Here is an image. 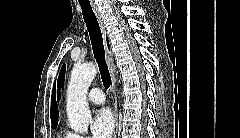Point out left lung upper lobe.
<instances>
[{"instance_id": "left-lung-upper-lobe-1", "label": "left lung upper lobe", "mask_w": 240, "mask_h": 138, "mask_svg": "<svg viewBox=\"0 0 240 138\" xmlns=\"http://www.w3.org/2000/svg\"><path fill=\"white\" fill-rule=\"evenodd\" d=\"M65 70H66V66L64 64L61 68V72H60L59 79H58V88L59 89H61L63 81L65 79ZM58 99H59V92H58Z\"/></svg>"}]
</instances>
